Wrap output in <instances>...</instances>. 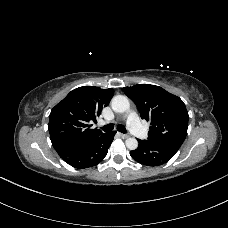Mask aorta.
Instances as JSON below:
<instances>
[{"label":"aorta","instance_id":"1","mask_svg":"<svg viewBox=\"0 0 228 228\" xmlns=\"http://www.w3.org/2000/svg\"><path fill=\"white\" fill-rule=\"evenodd\" d=\"M111 106L113 111L118 113H123L129 110L130 103L126 96L123 95H117L113 97L111 101ZM126 147L129 150H135L138 147V141L134 137L127 138L125 141Z\"/></svg>","mask_w":228,"mask_h":228}]
</instances>
